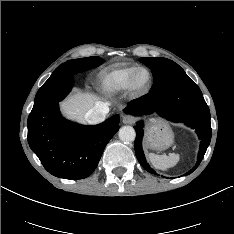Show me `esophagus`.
Masks as SVG:
<instances>
[{"instance_id": "1", "label": "esophagus", "mask_w": 234, "mask_h": 234, "mask_svg": "<svg viewBox=\"0 0 234 234\" xmlns=\"http://www.w3.org/2000/svg\"><path fill=\"white\" fill-rule=\"evenodd\" d=\"M136 121V118L130 115L122 116V122L124 124H133Z\"/></svg>"}]
</instances>
